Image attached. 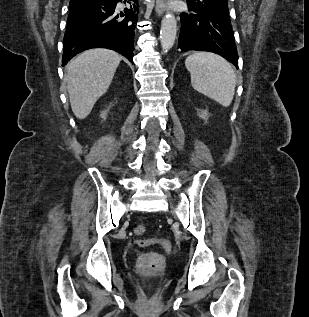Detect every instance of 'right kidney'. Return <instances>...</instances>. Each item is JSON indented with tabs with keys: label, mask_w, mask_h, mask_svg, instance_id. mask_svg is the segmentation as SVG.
I'll return each instance as SVG.
<instances>
[{
	"label": "right kidney",
	"mask_w": 309,
	"mask_h": 317,
	"mask_svg": "<svg viewBox=\"0 0 309 317\" xmlns=\"http://www.w3.org/2000/svg\"><path fill=\"white\" fill-rule=\"evenodd\" d=\"M101 117L105 119V117H106V113H105V112H103V113L101 114Z\"/></svg>",
	"instance_id": "right-kidney-1"
}]
</instances>
